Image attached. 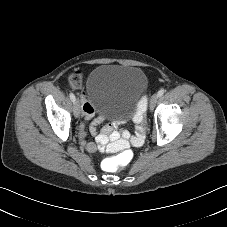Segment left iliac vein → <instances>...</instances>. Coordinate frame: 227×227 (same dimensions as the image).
I'll list each match as a JSON object with an SVG mask.
<instances>
[{"label":"left iliac vein","instance_id":"obj_1","mask_svg":"<svg viewBox=\"0 0 227 227\" xmlns=\"http://www.w3.org/2000/svg\"><path fill=\"white\" fill-rule=\"evenodd\" d=\"M158 98H159L158 94H154L151 97V99H150V105H149V107H150L151 110L155 107V105H156V103L158 101Z\"/></svg>","mask_w":227,"mask_h":227}]
</instances>
